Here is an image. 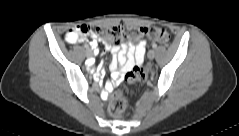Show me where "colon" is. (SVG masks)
<instances>
[{
    "instance_id": "obj_1",
    "label": "colon",
    "mask_w": 239,
    "mask_h": 136,
    "mask_svg": "<svg viewBox=\"0 0 239 136\" xmlns=\"http://www.w3.org/2000/svg\"><path fill=\"white\" fill-rule=\"evenodd\" d=\"M91 33L92 30L89 26L78 25L68 30L66 38L69 42H75L80 37ZM95 35L112 44H117L123 38L130 39L131 41H138L147 38L160 43H166L169 40V34L162 28H142L125 24L97 27L95 29ZM149 68L150 66L148 63H141L133 67L124 76L126 86L129 88L144 81ZM126 107L127 103L122 93H115L109 103V111L111 115L114 117H120L124 113Z\"/></svg>"
}]
</instances>
